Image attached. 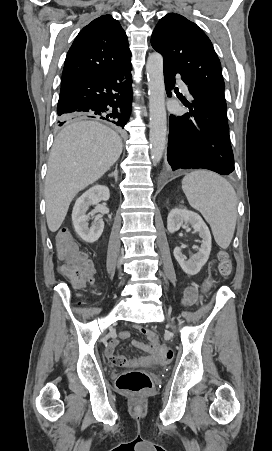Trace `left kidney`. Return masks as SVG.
Wrapping results in <instances>:
<instances>
[{
	"instance_id": "left-kidney-1",
	"label": "left kidney",
	"mask_w": 272,
	"mask_h": 451,
	"mask_svg": "<svg viewBox=\"0 0 272 451\" xmlns=\"http://www.w3.org/2000/svg\"><path fill=\"white\" fill-rule=\"evenodd\" d=\"M182 224H190L194 231H198L199 237H202V243L198 247L199 251L194 253L191 259H187L186 255L182 253L181 247H174L173 251L183 271L188 273V275H195V273L200 271L202 265L206 263L209 257L211 251V233L201 216H198L195 212H189V210H178V208H174L168 214L167 229L170 233H174V231L180 229Z\"/></svg>"
}]
</instances>
